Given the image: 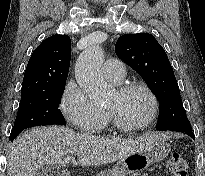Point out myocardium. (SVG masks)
Wrapping results in <instances>:
<instances>
[{
  "label": "myocardium",
  "instance_id": "1",
  "mask_svg": "<svg viewBox=\"0 0 205 176\" xmlns=\"http://www.w3.org/2000/svg\"><path fill=\"white\" fill-rule=\"evenodd\" d=\"M137 90L144 92L149 98L151 103L150 114L144 121L138 124H128L122 121L120 117L113 110L107 109V113L111 118L114 126L121 131L132 132V131L144 129L149 125H151L157 117L158 110H159L158 100L155 93L146 84L142 82H130L120 86L117 93L121 95H125L127 93L137 91Z\"/></svg>",
  "mask_w": 205,
  "mask_h": 176
}]
</instances>
